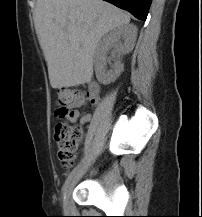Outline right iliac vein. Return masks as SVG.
I'll list each match as a JSON object with an SVG mask.
<instances>
[{"mask_svg": "<svg viewBox=\"0 0 202 217\" xmlns=\"http://www.w3.org/2000/svg\"><path fill=\"white\" fill-rule=\"evenodd\" d=\"M71 187H72V183L70 185H68L66 192H65V196L63 199V209L64 211L67 210L68 208V201H69V195H70V191H71Z\"/></svg>", "mask_w": 202, "mask_h": 217, "instance_id": "right-iliac-vein-1", "label": "right iliac vein"}]
</instances>
